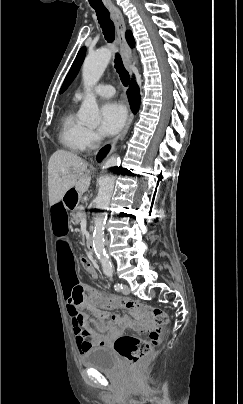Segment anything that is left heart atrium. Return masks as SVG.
Masks as SVG:
<instances>
[{"instance_id": "1", "label": "left heart atrium", "mask_w": 243, "mask_h": 404, "mask_svg": "<svg viewBox=\"0 0 243 404\" xmlns=\"http://www.w3.org/2000/svg\"><path fill=\"white\" fill-rule=\"evenodd\" d=\"M126 111L117 101H107L100 111L99 132L105 136L116 134L124 125Z\"/></svg>"}]
</instances>
